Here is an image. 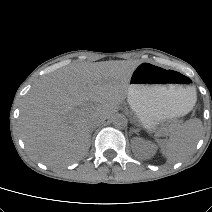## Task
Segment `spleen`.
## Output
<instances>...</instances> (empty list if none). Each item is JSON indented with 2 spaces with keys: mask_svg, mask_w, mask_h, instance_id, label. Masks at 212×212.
Instances as JSON below:
<instances>
[{
  "mask_svg": "<svg viewBox=\"0 0 212 212\" xmlns=\"http://www.w3.org/2000/svg\"><path fill=\"white\" fill-rule=\"evenodd\" d=\"M202 133V123L193 119L186 121L175 131L169 140L161 146V152L169 163L186 159L194 150V147Z\"/></svg>",
  "mask_w": 212,
  "mask_h": 212,
  "instance_id": "3e777b00",
  "label": "spleen"
}]
</instances>
